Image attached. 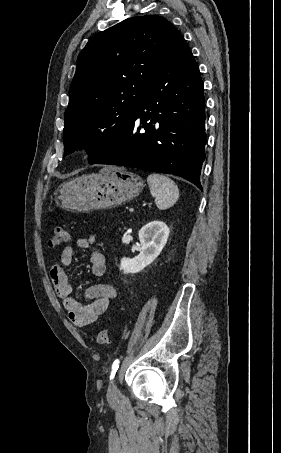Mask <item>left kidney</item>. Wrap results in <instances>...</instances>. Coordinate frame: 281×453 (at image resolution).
<instances>
[{"mask_svg":"<svg viewBox=\"0 0 281 453\" xmlns=\"http://www.w3.org/2000/svg\"><path fill=\"white\" fill-rule=\"evenodd\" d=\"M170 229L163 220H151L144 224V227L139 231V241L141 243V251L134 259H121L120 271L125 275L127 273H140L145 267L151 265L156 257L160 255L164 249Z\"/></svg>","mask_w":281,"mask_h":453,"instance_id":"5707ae66","label":"left kidney"}]
</instances>
